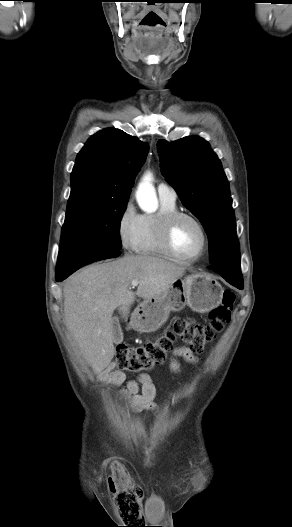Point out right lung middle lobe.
I'll list each match as a JSON object with an SVG mask.
<instances>
[{
  "label": "right lung middle lobe",
  "instance_id": "dd1d6c3e",
  "mask_svg": "<svg viewBox=\"0 0 292 527\" xmlns=\"http://www.w3.org/2000/svg\"><path fill=\"white\" fill-rule=\"evenodd\" d=\"M127 201L100 190L72 188L60 247L104 245L121 249L120 221Z\"/></svg>",
  "mask_w": 292,
  "mask_h": 527
}]
</instances>
